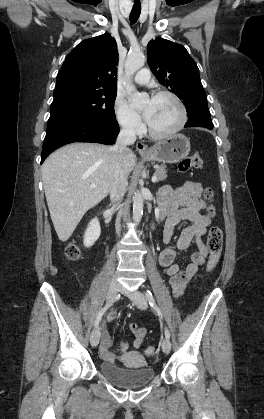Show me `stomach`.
<instances>
[{
  "mask_svg": "<svg viewBox=\"0 0 264 419\" xmlns=\"http://www.w3.org/2000/svg\"><path fill=\"white\" fill-rule=\"evenodd\" d=\"M190 152V140L183 134H174L168 139L155 144L152 152L143 157L148 161L176 163Z\"/></svg>",
  "mask_w": 264,
  "mask_h": 419,
  "instance_id": "stomach-1",
  "label": "stomach"
}]
</instances>
